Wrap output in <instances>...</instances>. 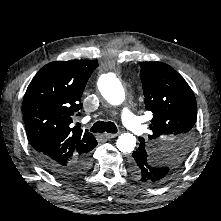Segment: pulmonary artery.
Returning <instances> with one entry per match:
<instances>
[{"label": "pulmonary artery", "mask_w": 221, "mask_h": 221, "mask_svg": "<svg viewBox=\"0 0 221 221\" xmlns=\"http://www.w3.org/2000/svg\"><path fill=\"white\" fill-rule=\"evenodd\" d=\"M122 121L123 123L134 133L139 134L143 132V124L140 119L134 115L129 108H124L122 110Z\"/></svg>", "instance_id": "e3ab8cb5"}]
</instances>
